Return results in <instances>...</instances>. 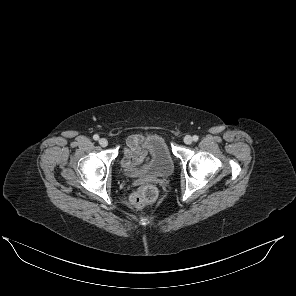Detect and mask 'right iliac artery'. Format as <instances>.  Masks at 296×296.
<instances>
[{"instance_id":"1","label":"right iliac artery","mask_w":296,"mask_h":296,"mask_svg":"<svg viewBox=\"0 0 296 296\" xmlns=\"http://www.w3.org/2000/svg\"><path fill=\"white\" fill-rule=\"evenodd\" d=\"M93 139H94V140H98V139H99V136H98L97 134H95V135L93 136Z\"/></svg>"}]
</instances>
